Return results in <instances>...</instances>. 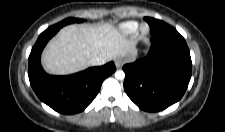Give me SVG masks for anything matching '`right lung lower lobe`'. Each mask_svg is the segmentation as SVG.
Listing matches in <instances>:
<instances>
[{
	"label": "right lung lower lobe",
	"mask_w": 225,
	"mask_h": 132,
	"mask_svg": "<svg viewBox=\"0 0 225 132\" xmlns=\"http://www.w3.org/2000/svg\"><path fill=\"white\" fill-rule=\"evenodd\" d=\"M60 28L51 26L40 34L29 56L28 76L38 98L57 112L74 114L83 111L97 96L105 78L115 70L110 62L69 76H52L40 63L43 48Z\"/></svg>",
	"instance_id": "obj_1"
}]
</instances>
